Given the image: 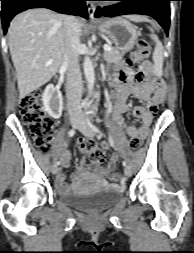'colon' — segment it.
<instances>
[{"mask_svg": "<svg viewBox=\"0 0 194 253\" xmlns=\"http://www.w3.org/2000/svg\"><path fill=\"white\" fill-rule=\"evenodd\" d=\"M150 53V45L146 40H140L136 50L127 59V65L140 72L141 63L138 56H148ZM20 114L23 123L29 128L30 133L37 148L46 153L51 145L52 133L54 129L53 120L44 112L41 105V92L35 91L27 94L20 102ZM95 137H89L88 140L80 142V149L89 154L93 164L99 165L104 161V152L95 145ZM142 144V139L135 136L130 139V146L137 150ZM122 175L119 171L111 174L113 182H120Z\"/></svg>", "mask_w": 194, "mask_h": 253, "instance_id": "5ec220e1", "label": "colon"}]
</instances>
